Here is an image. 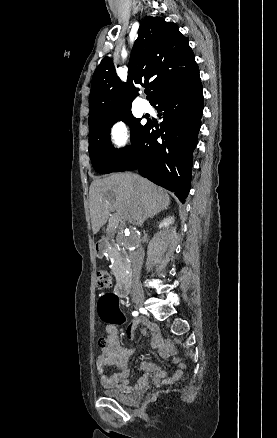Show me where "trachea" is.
I'll use <instances>...</instances> for the list:
<instances>
[{
  "label": "trachea",
  "instance_id": "1",
  "mask_svg": "<svg viewBox=\"0 0 277 438\" xmlns=\"http://www.w3.org/2000/svg\"><path fill=\"white\" fill-rule=\"evenodd\" d=\"M146 95L150 93V90H145Z\"/></svg>",
  "mask_w": 277,
  "mask_h": 438
}]
</instances>
